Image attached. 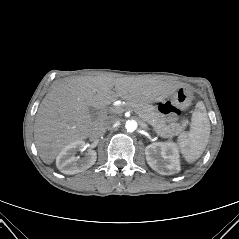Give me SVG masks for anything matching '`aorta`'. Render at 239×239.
I'll return each mask as SVG.
<instances>
[{
  "instance_id": "aorta-1",
  "label": "aorta",
  "mask_w": 239,
  "mask_h": 239,
  "mask_svg": "<svg viewBox=\"0 0 239 239\" xmlns=\"http://www.w3.org/2000/svg\"><path fill=\"white\" fill-rule=\"evenodd\" d=\"M125 128L128 132H135L138 128V123L135 120H127Z\"/></svg>"
}]
</instances>
